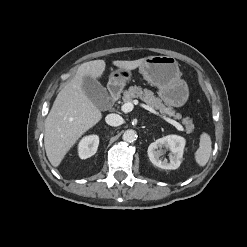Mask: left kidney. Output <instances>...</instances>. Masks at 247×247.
Wrapping results in <instances>:
<instances>
[{
    "instance_id": "1",
    "label": "left kidney",
    "mask_w": 247,
    "mask_h": 247,
    "mask_svg": "<svg viewBox=\"0 0 247 247\" xmlns=\"http://www.w3.org/2000/svg\"><path fill=\"white\" fill-rule=\"evenodd\" d=\"M162 147H165L171 152L169 154V161H162L160 159V156L162 155ZM184 147L185 139L183 137L177 135H168L151 143L147 152L152 164L161 169L174 170L177 169L181 164Z\"/></svg>"
}]
</instances>
